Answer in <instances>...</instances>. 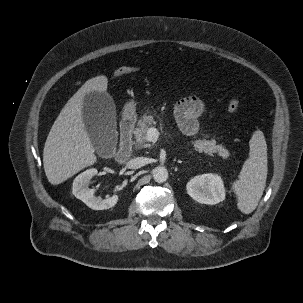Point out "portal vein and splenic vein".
I'll list each match as a JSON object with an SVG mask.
<instances>
[{"instance_id": "1", "label": "portal vein and splenic vein", "mask_w": 303, "mask_h": 303, "mask_svg": "<svg viewBox=\"0 0 303 303\" xmlns=\"http://www.w3.org/2000/svg\"><path fill=\"white\" fill-rule=\"evenodd\" d=\"M158 137H159V132L156 128L151 127L147 130V133H146L147 141L155 142V141H157Z\"/></svg>"}]
</instances>
